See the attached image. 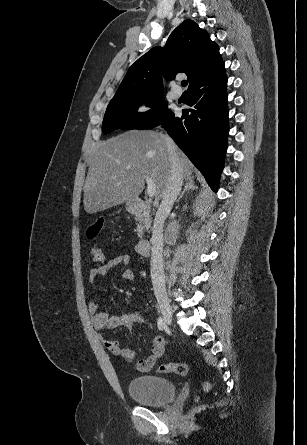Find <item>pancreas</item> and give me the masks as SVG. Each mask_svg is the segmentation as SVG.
<instances>
[{
    "label": "pancreas",
    "instance_id": "pancreas-1",
    "mask_svg": "<svg viewBox=\"0 0 307 445\" xmlns=\"http://www.w3.org/2000/svg\"><path fill=\"white\" fill-rule=\"evenodd\" d=\"M144 212H146V210H144ZM146 220H151L150 216H148V218H146ZM136 225H137L138 235H139V237H142V233H139V231H143V229H145V227H143L141 220H139V223H136Z\"/></svg>",
    "mask_w": 307,
    "mask_h": 445
}]
</instances>
